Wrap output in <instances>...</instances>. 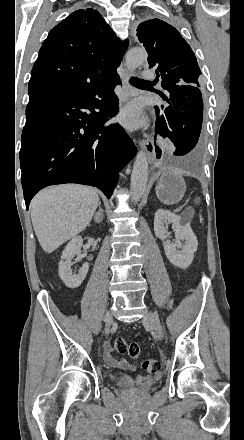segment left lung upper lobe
I'll list each match as a JSON object with an SVG mask.
<instances>
[{
    "instance_id": "5c2ea615",
    "label": "left lung upper lobe",
    "mask_w": 244,
    "mask_h": 440,
    "mask_svg": "<svg viewBox=\"0 0 244 440\" xmlns=\"http://www.w3.org/2000/svg\"><path fill=\"white\" fill-rule=\"evenodd\" d=\"M137 36L148 52L149 68H156L162 83L200 86L196 57L176 28L150 19L139 24Z\"/></svg>"
}]
</instances>
